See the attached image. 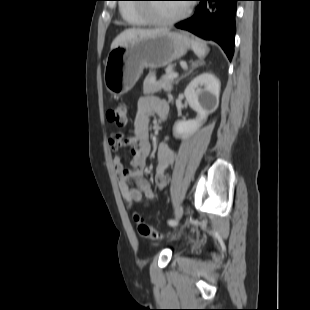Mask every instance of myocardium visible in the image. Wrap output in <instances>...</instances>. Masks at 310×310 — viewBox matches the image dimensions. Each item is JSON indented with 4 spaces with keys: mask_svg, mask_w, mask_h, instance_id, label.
I'll use <instances>...</instances> for the list:
<instances>
[{
    "mask_svg": "<svg viewBox=\"0 0 310 310\" xmlns=\"http://www.w3.org/2000/svg\"><path fill=\"white\" fill-rule=\"evenodd\" d=\"M141 11L146 14L150 22L155 25H171L188 16L191 11V6L188 5L184 7L179 14L173 17H150V15L153 14V11L151 9L147 10L142 8Z\"/></svg>",
    "mask_w": 310,
    "mask_h": 310,
    "instance_id": "myocardium-1",
    "label": "myocardium"
}]
</instances>
